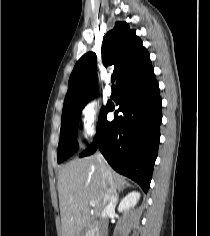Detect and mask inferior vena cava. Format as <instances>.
<instances>
[{
  "mask_svg": "<svg viewBox=\"0 0 210 236\" xmlns=\"http://www.w3.org/2000/svg\"><path fill=\"white\" fill-rule=\"evenodd\" d=\"M97 161L103 171H107V163L103 155L98 152ZM117 193L115 190H107L103 199V209L101 211L100 236L108 235V217L115 213Z\"/></svg>",
  "mask_w": 210,
  "mask_h": 236,
  "instance_id": "1",
  "label": "inferior vena cava"
}]
</instances>
